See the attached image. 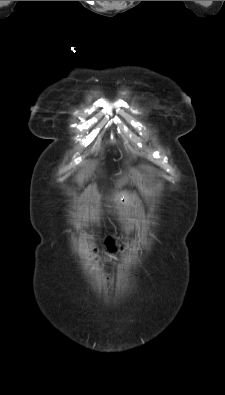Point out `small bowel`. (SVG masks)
I'll use <instances>...</instances> for the list:
<instances>
[{
    "mask_svg": "<svg viewBox=\"0 0 225 395\" xmlns=\"http://www.w3.org/2000/svg\"><path fill=\"white\" fill-rule=\"evenodd\" d=\"M107 245H108V248H109L110 251L113 252V251L116 250V246L114 245L113 241L109 240V241L107 242Z\"/></svg>",
    "mask_w": 225,
    "mask_h": 395,
    "instance_id": "c3829d8e",
    "label": "small bowel"
}]
</instances>
